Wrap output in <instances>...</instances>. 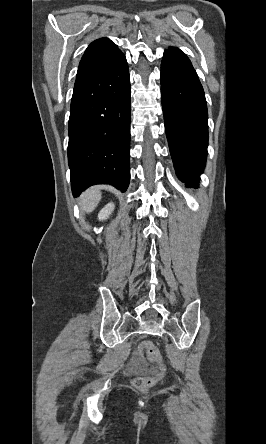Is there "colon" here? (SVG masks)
Masks as SVG:
<instances>
[{
    "mask_svg": "<svg viewBox=\"0 0 266 444\" xmlns=\"http://www.w3.org/2000/svg\"><path fill=\"white\" fill-rule=\"evenodd\" d=\"M140 352L146 356L148 360L157 365L158 371L156 374L148 377H138L133 381V385L136 389L145 391L153 387L164 374V364L162 356L152 341H144L140 345Z\"/></svg>",
    "mask_w": 266,
    "mask_h": 444,
    "instance_id": "1",
    "label": "colon"
}]
</instances>
